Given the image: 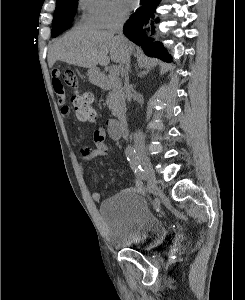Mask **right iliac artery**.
Segmentation results:
<instances>
[{
    "label": "right iliac artery",
    "instance_id": "obj_1",
    "mask_svg": "<svg viewBox=\"0 0 245 300\" xmlns=\"http://www.w3.org/2000/svg\"><path fill=\"white\" fill-rule=\"evenodd\" d=\"M125 155L127 157V160L130 162L131 168L133 169L136 176L146 182V185H148L147 189L151 194H156L157 188L156 186H154L153 182H151V177L145 176L144 170L138 161L136 150L133 147L128 146L125 149Z\"/></svg>",
    "mask_w": 245,
    "mask_h": 300
}]
</instances>
